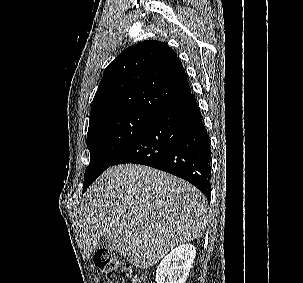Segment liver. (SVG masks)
Masks as SVG:
<instances>
[{"mask_svg": "<svg viewBox=\"0 0 303 283\" xmlns=\"http://www.w3.org/2000/svg\"><path fill=\"white\" fill-rule=\"evenodd\" d=\"M207 200L193 185L143 165L108 168L86 191L80 205L86 250L101 237L139 268H150L170 250L202 237Z\"/></svg>", "mask_w": 303, "mask_h": 283, "instance_id": "obj_1", "label": "liver"}]
</instances>
